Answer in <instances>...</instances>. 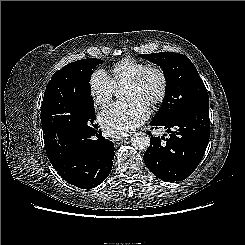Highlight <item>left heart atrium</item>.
<instances>
[{
  "mask_svg": "<svg viewBox=\"0 0 245 245\" xmlns=\"http://www.w3.org/2000/svg\"><path fill=\"white\" fill-rule=\"evenodd\" d=\"M149 116L147 102L133 97L124 102H116L102 111L99 123L110 136H120L140 126Z\"/></svg>",
  "mask_w": 245,
  "mask_h": 245,
  "instance_id": "1",
  "label": "left heart atrium"
}]
</instances>
